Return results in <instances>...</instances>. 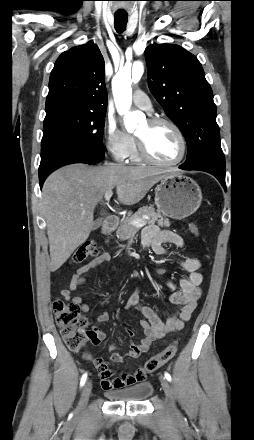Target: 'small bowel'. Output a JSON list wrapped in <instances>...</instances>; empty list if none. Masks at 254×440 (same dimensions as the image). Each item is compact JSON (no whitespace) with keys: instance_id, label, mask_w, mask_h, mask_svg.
I'll return each instance as SVG.
<instances>
[{"instance_id":"obj_1","label":"small bowel","mask_w":254,"mask_h":440,"mask_svg":"<svg viewBox=\"0 0 254 440\" xmlns=\"http://www.w3.org/2000/svg\"><path fill=\"white\" fill-rule=\"evenodd\" d=\"M141 243L144 249L150 248L157 255L167 254L163 246L165 243L173 244L178 248L185 246L184 240L180 235L171 231L160 230L156 226H148L143 230ZM108 260L109 255L102 253L77 269L69 285L62 289V297L76 304L81 312H88L90 310L89 304L81 296H74L73 293L85 283L84 274ZM178 264L186 272V275L179 280L178 290L172 281L166 282L170 290L169 301L177 305L178 309L165 322L160 319L151 307L140 303L138 291H134L128 297L126 308L136 309L144 316V319L140 321L144 337L139 342H131L127 357L138 358L141 354L148 351L153 341L182 330L185 323L190 319L202 292L201 284L203 277L199 271L201 262L197 258H183L178 260ZM108 319L109 314L107 312H102L95 317L98 323L106 322ZM92 331L94 336L90 338V342L94 345H99L107 338L106 333L99 327H93ZM127 332L130 336L133 335L130 329ZM119 349L120 347L116 344L109 345L111 362H123L124 357L117 352ZM85 358L99 371L101 384L105 389L121 388L146 380V372L142 368L137 369L133 373H120L116 375L103 358H92L87 354Z\"/></svg>"}]
</instances>
